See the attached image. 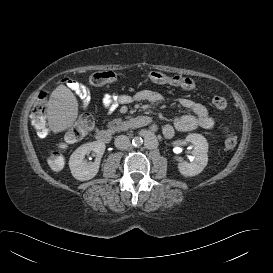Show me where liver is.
<instances>
[{
    "instance_id": "6515ba94",
    "label": "liver",
    "mask_w": 273,
    "mask_h": 273,
    "mask_svg": "<svg viewBox=\"0 0 273 273\" xmlns=\"http://www.w3.org/2000/svg\"><path fill=\"white\" fill-rule=\"evenodd\" d=\"M78 116V101L64 85L58 86L50 95L47 108L48 124L53 133L67 130Z\"/></svg>"
}]
</instances>
